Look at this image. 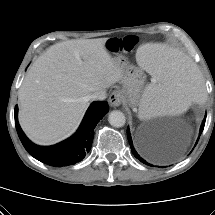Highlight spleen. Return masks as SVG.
I'll return each mask as SVG.
<instances>
[{
	"label": "spleen",
	"mask_w": 215,
	"mask_h": 215,
	"mask_svg": "<svg viewBox=\"0 0 215 215\" xmlns=\"http://www.w3.org/2000/svg\"><path fill=\"white\" fill-rule=\"evenodd\" d=\"M137 57L139 66L152 76L140 101L146 117L181 113L192 101L204 100V85L189 57L157 44L141 46Z\"/></svg>",
	"instance_id": "obj_1"
}]
</instances>
